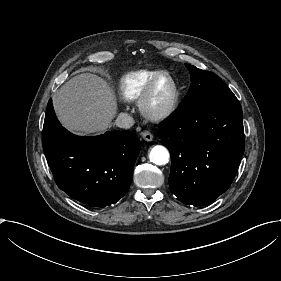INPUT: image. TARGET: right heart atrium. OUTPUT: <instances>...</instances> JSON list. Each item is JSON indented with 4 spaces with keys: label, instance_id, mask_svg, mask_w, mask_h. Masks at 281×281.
I'll list each match as a JSON object with an SVG mask.
<instances>
[{
    "label": "right heart atrium",
    "instance_id": "1",
    "mask_svg": "<svg viewBox=\"0 0 281 281\" xmlns=\"http://www.w3.org/2000/svg\"><path fill=\"white\" fill-rule=\"evenodd\" d=\"M104 96L110 101L111 105L116 108L117 104L115 103V101L113 100V98L111 97V95L109 94V92L104 91Z\"/></svg>",
    "mask_w": 281,
    "mask_h": 281
}]
</instances>
